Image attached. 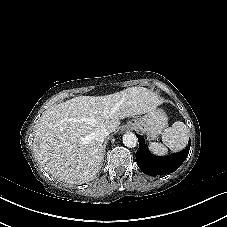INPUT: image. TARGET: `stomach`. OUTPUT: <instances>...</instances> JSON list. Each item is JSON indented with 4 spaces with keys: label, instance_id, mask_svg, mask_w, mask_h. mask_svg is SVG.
<instances>
[{
    "label": "stomach",
    "instance_id": "1",
    "mask_svg": "<svg viewBox=\"0 0 227 227\" xmlns=\"http://www.w3.org/2000/svg\"><path fill=\"white\" fill-rule=\"evenodd\" d=\"M127 126L146 134L149 139H155L168 126V117L162 109H155L129 121Z\"/></svg>",
    "mask_w": 227,
    "mask_h": 227
}]
</instances>
